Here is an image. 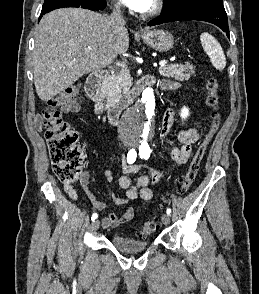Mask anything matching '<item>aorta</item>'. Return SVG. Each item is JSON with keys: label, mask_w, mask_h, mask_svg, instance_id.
Returning a JSON list of instances; mask_svg holds the SVG:
<instances>
[{"label": "aorta", "mask_w": 259, "mask_h": 294, "mask_svg": "<svg viewBox=\"0 0 259 294\" xmlns=\"http://www.w3.org/2000/svg\"><path fill=\"white\" fill-rule=\"evenodd\" d=\"M155 96L152 88H146L138 104L122 117L121 132L135 142H149L154 134Z\"/></svg>", "instance_id": "1"}]
</instances>
